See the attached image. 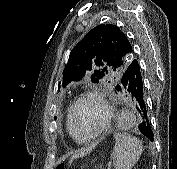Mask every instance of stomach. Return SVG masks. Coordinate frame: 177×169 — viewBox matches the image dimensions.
I'll use <instances>...</instances> for the list:
<instances>
[{
    "label": "stomach",
    "mask_w": 177,
    "mask_h": 169,
    "mask_svg": "<svg viewBox=\"0 0 177 169\" xmlns=\"http://www.w3.org/2000/svg\"><path fill=\"white\" fill-rule=\"evenodd\" d=\"M55 169H66V168H65V165L62 162H58L56 164Z\"/></svg>",
    "instance_id": "0dacf381"
}]
</instances>
